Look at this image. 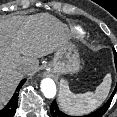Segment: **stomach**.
Segmentation results:
<instances>
[{"instance_id": "obj_1", "label": "stomach", "mask_w": 117, "mask_h": 117, "mask_svg": "<svg viewBox=\"0 0 117 117\" xmlns=\"http://www.w3.org/2000/svg\"><path fill=\"white\" fill-rule=\"evenodd\" d=\"M49 68L58 74H74L79 72L80 57L76 47L69 41L63 43L56 51Z\"/></svg>"}]
</instances>
